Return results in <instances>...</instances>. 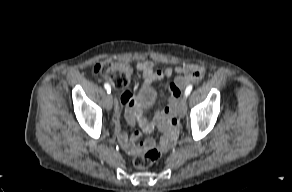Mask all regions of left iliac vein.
Segmentation results:
<instances>
[{"instance_id": "1", "label": "left iliac vein", "mask_w": 292, "mask_h": 192, "mask_svg": "<svg viewBox=\"0 0 292 192\" xmlns=\"http://www.w3.org/2000/svg\"><path fill=\"white\" fill-rule=\"evenodd\" d=\"M187 110V98L186 96H183L181 98L180 104H179V110H178V115L180 118H183L186 114Z\"/></svg>"}]
</instances>
